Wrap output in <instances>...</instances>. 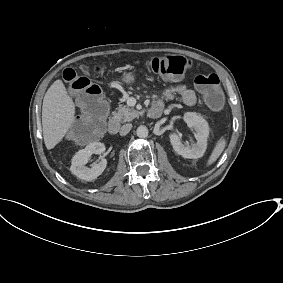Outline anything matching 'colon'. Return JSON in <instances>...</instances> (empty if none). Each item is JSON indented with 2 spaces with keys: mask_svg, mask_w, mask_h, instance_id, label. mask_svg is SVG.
I'll list each match as a JSON object with an SVG mask.
<instances>
[{
  "mask_svg": "<svg viewBox=\"0 0 283 283\" xmlns=\"http://www.w3.org/2000/svg\"><path fill=\"white\" fill-rule=\"evenodd\" d=\"M190 65L187 58L174 55L153 57L145 63L148 71L170 78L182 76L188 71ZM87 72L86 68L80 70L67 68L63 71V78L69 83L71 94L81 109V115L71 126L69 136L81 143L95 138L108 114V105L100 87L82 75ZM194 83L204 102L212 110L221 109L224 94L217 75H199Z\"/></svg>",
  "mask_w": 283,
  "mask_h": 283,
  "instance_id": "colon-1",
  "label": "colon"
}]
</instances>
